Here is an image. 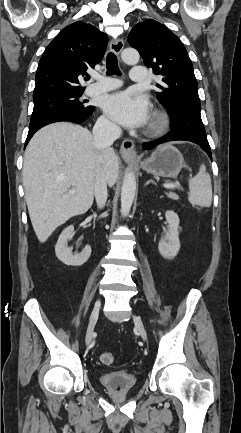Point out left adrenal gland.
I'll return each instance as SVG.
<instances>
[{"label": "left adrenal gland", "instance_id": "1", "mask_svg": "<svg viewBox=\"0 0 241 433\" xmlns=\"http://www.w3.org/2000/svg\"><path fill=\"white\" fill-rule=\"evenodd\" d=\"M150 183L155 184L154 181L149 180V181L146 182L145 186L149 185Z\"/></svg>", "mask_w": 241, "mask_h": 433}]
</instances>
